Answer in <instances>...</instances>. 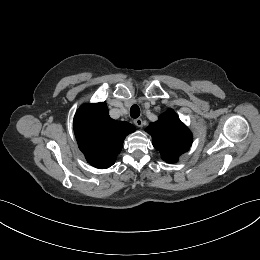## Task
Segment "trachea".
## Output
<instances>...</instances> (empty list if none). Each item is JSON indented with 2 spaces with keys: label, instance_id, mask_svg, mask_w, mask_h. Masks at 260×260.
<instances>
[{
  "label": "trachea",
  "instance_id": "1",
  "mask_svg": "<svg viewBox=\"0 0 260 260\" xmlns=\"http://www.w3.org/2000/svg\"><path fill=\"white\" fill-rule=\"evenodd\" d=\"M130 116L132 118H138L140 116V108L137 105H132L130 108Z\"/></svg>",
  "mask_w": 260,
  "mask_h": 260
}]
</instances>
